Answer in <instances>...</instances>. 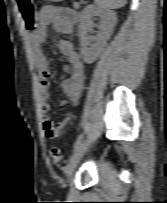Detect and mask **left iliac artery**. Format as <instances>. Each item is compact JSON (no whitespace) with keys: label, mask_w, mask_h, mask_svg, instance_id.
<instances>
[{"label":"left iliac artery","mask_w":167,"mask_h":203,"mask_svg":"<svg viewBox=\"0 0 167 203\" xmlns=\"http://www.w3.org/2000/svg\"><path fill=\"white\" fill-rule=\"evenodd\" d=\"M81 142H82V135H79L78 138H77V140H76V142H75V144H74V151L77 150V148L79 147V145L81 144Z\"/></svg>","instance_id":"left-iliac-artery-1"}]
</instances>
